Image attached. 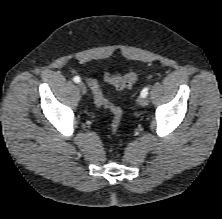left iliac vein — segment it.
<instances>
[{
  "label": "left iliac vein",
  "instance_id": "left-iliac-vein-1",
  "mask_svg": "<svg viewBox=\"0 0 222 219\" xmlns=\"http://www.w3.org/2000/svg\"><path fill=\"white\" fill-rule=\"evenodd\" d=\"M149 103V99L146 97V96H140L139 99H138V104L142 107H145L147 106Z\"/></svg>",
  "mask_w": 222,
  "mask_h": 219
}]
</instances>
